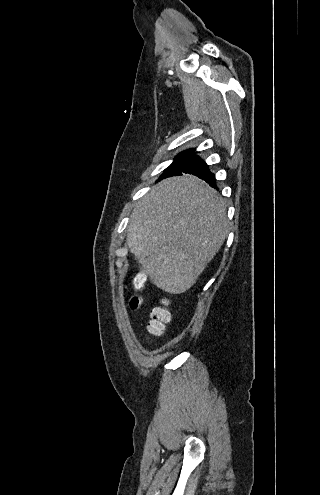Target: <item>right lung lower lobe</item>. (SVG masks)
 <instances>
[{
    "instance_id": "1",
    "label": "right lung lower lobe",
    "mask_w": 320,
    "mask_h": 495,
    "mask_svg": "<svg viewBox=\"0 0 320 495\" xmlns=\"http://www.w3.org/2000/svg\"><path fill=\"white\" fill-rule=\"evenodd\" d=\"M182 173H189L198 176L200 179L210 183V186L213 188H217L215 175L210 172L207 164L198 156H193L180 171L170 176L182 175Z\"/></svg>"
}]
</instances>
